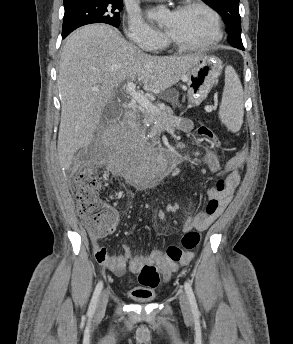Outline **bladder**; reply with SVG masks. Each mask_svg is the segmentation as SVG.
<instances>
[{"instance_id": "bladder-1", "label": "bladder", "mask_w": 293, "mask_h": 344, "mask_svg": "<svg viewBox=\"0 0 293 344\" xmlns=\"http://www.w3.org/2000/svg\"><path fill=\"white\" fill-rule=\"evenodd\" d=\"M140 301L142 302H147V301H150L152 299L151 296H146V297H140L138 298Z\"/></svg>"}]
</instances>
